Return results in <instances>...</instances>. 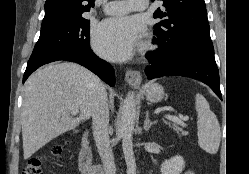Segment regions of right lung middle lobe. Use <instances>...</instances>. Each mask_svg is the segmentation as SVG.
Wrapping results in <instances>:
<instances>
[{"mask_svg": "<svg viewBox=\"0 0 249 174\" xmlns=\"http://www.w3.org/2000/svg\"><path fill=\"white\" fill-rule=\"evenodd\" d=\"M90 49L89 20L82 18L41 26L40 37L30 58L48 51Z\"/></svg>", "mask_w": 249, "mask_h": 174, "instance_id": "1", "label": "right lung middle lobe"}]
</instances>
